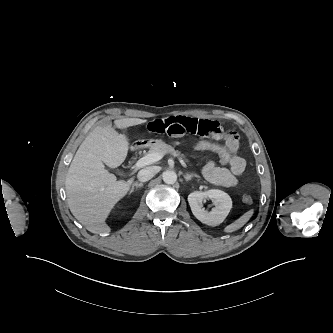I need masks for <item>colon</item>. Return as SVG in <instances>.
I'll return each mask as SVG.
<instances>
[{
	"mask_svg": "<svg viewBox=\"0 0 333 333\" xmlns=\"http://www.w3.org/2000/svg\"><path fill=\"white\" fill-rule=\"evenodd\" d=\"M190 146L196 151L212 152L216 154L222 164L226 165L230 160L228 150L220 143L210 140H195L191 142ZM242 200L245 204H251L253 201L252 197L248 194L243 195Z\"/></svg>",
	"mask_w": 333,
	"mask_h": 333,
	"instance_id": "1",
	"label": "colon"
}]
</instances>
